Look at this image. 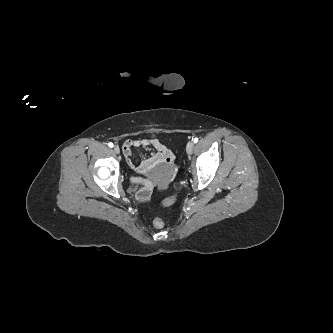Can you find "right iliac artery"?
Returning a JSON list of instances; mask_svg holds the SVG:
<instances>
[{"instance_id": "obj_1", "label": "right iliac artery", "mask_w": 333, "mask_h": 333, "mask_svg": "<svg viewBox=\"0 0 333 333\" xmlns=\"http://www.w3.org/2000/svg\"><path fill=\"white\" fill-rule=\"evenodd\" d=\"M108 146L112 148V147H113V143L110 142V143L108 144Z\"/></svg>"}]
</instances>
